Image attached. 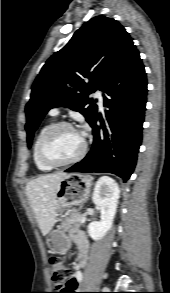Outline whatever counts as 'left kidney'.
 <instances>
[{"instance_id": "obj_1", "label": "left kidney", "mask_w": 170, "mask_h": 293, "mask_svg": "<svg viewBox=\"0 0 170 293\" xmlns=\"http://www.w3.org/2000/svg\"><path fill=\"white\" fill-rule=\"evenodd\" d=\"M119 197L120 188L114 179L103 176L96 182L92 201L100 208L101 220L91 222L87 227L88 234L93 240L102 239L111 229Z\"/></svg>"}]
</instances>
